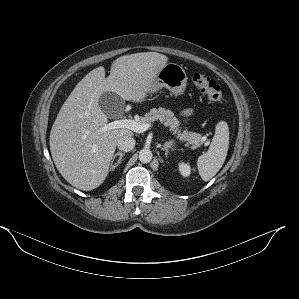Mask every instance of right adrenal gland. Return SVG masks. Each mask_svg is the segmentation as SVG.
<instances>
[{
  "label": "right adrenal gland",
  "instance_id": "right-adrenal-gland-1",
  "mask_svg": "<svg viewBox=\"0 0 299 299\" xmlns=\"http://www.w3.org/2000/svg\"><path fill=\"white\" fill-rule=\"evenodd\" d=\"M118 156H119V158H118L117 162L115 164H113L115 158H117ZM123 156H125V153H123V152H117L116 154H114V156L112 157L111 163H110V166H111L110 170H112V171L115 170V168L119 164H121Z\"/></svg>",
  "mask_w": 299,
  "mask_h": 299
}]
</instances>
